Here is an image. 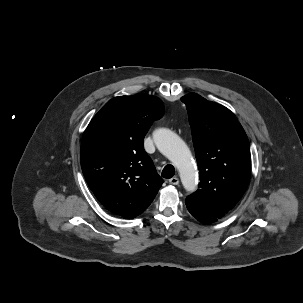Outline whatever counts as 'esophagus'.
<instances>
[{
    "mask_svg": "<svg viewBox=\"0 0 303 303\" xmlns=\"http://www.w3.org/2000/svg\"><path fill=\"white\" fill-rule=\"evenodd\" d=\"M169 183L172 185H178L179 179L177 177H173V178L169 179Z\"/></svg>",
    "mask_w": 303,
    "mask_h": 303,
    "instance_id": "34e87169",
    "label": "esophagus"
}]
</instances>
